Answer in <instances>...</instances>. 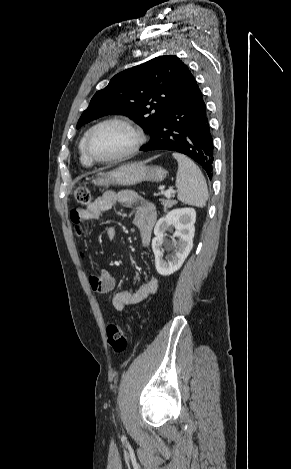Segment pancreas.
I'll return each mask as SVG.
<instances>
[{"label":"pancreas","mask_w":291,"mask_h":469,"mask_svg":"<svg viewBox=\"0 0 291 469\" xmlns=\"http://www.w3.org/2000/svg\"><path fill=\"white\" fill-rule=\"evenodd\" d=\"M176 203H177L176 200H162V205L164 206V211H166L168 208H171Z\"/></svg>","instance_id":"pancreas-1"}]
</instances>
